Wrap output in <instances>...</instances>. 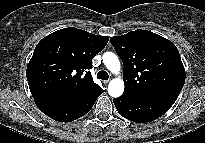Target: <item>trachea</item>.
Instances as JSON below:
<instances>
[{"label":"trachea","mask_w":205,"mask_h":143,"mask_svg":"<svg viewBox=\"0 0 205 143\" xmlns=\"http://www.w3.org/2000/svg\"><path fill=\"white\" fill-rule=\"evenodd\" d=\"M97 78L98 79H102V80H108L109 75H108V73L106 71H99L97 73Z\"/></svg>","instance_id":"trachea-1"}]
</instances>
